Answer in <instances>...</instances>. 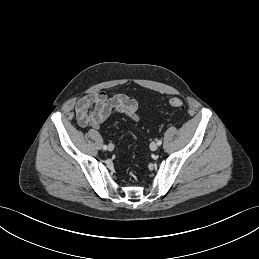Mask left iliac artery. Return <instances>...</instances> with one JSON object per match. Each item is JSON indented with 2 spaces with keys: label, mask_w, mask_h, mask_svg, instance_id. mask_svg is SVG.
I'll return each mask as SVG.
<instances>
[{
  "label": "left iliac artery",
  "mask_w": 259,
  "mask_h": 259,
  "mask_svg": "<svg viewBox=\"0 0 259 259\" xmlns=\"http://www.w3.org/2000/svg\"><path fill=\"white\" fill-rule=\"evenodd\" d=\"M157 144H158V145H161V144H162V140L159 139V140L157 141Z\"/></svg>",
  "instance_id": "left-iliac-artery-1"
}]
</instances>
